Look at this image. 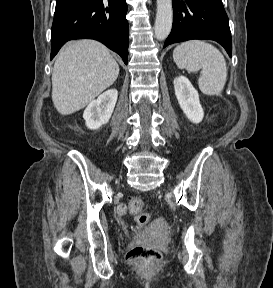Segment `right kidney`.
Masks as SVG:
<instances>
[{
    "mask_svg": "<svg viewBox=\"0 0 273 288\" xmlns=\"http://www.w3.org/2000/svg\"><path fill=\"white\" fill-rule=\"evenodd\" d=\"M118 91L110 89L92 101L83 113L86 126L91 130L99 129L109 122L114 111Z\"/></svg>",
    "mask_w": 273,
    "mask_h": 288,
    "instance_id": "right-kidney-1",
    "label": "right kidney"
}]
</instances>
